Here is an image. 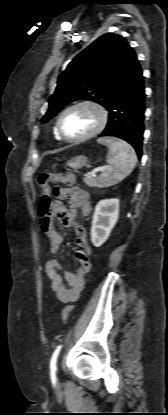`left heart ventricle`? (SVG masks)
<instances>
[{"instance_id": "obj_1", "label": "left heart ventricle", "mask_w": 168, "mask_h": 415, "mask_svg": "<svg viewBox=\"0 0 168 415\" xmlns=\"http://www.w3.org/2000/svg\"><path fill=\"white\" fill-rule=\"evenodd\" d=\"M97 122L98 115L92 108L79 107L65 114L62 129L67 137L76 138L90 132Z\"/></svg>"}]
</instances>
